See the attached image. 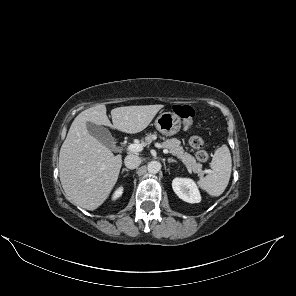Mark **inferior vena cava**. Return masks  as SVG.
I'll return each mask as SVG.
<instances>
[{"instance_id":"inferior-vena-cava-1","label":"inferior vena cava","mask_w":296,"mask_h":296,"mask_svg":"<svg viewBox=\"0 0 296 296\" xmlns=\"http://www.w3.org/2000/svg\"><path fill=\"white\" fill-rule=\"evenodd\" d=\"M124 163L127 168L135 169L140 165L141 159L137 155L130 154L125 157Z\"/></svg>"}]
</instances>
